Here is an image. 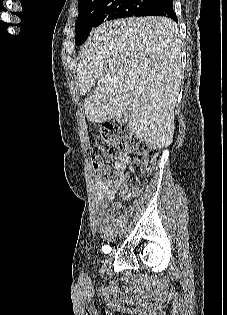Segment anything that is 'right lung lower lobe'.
Wrapping results in <instances>:
<instances>
[{
  "instance_id": "98d812e1",
  "label": "right lung lower lobe",
  "mask_w": 227,
  "mask_h": 315,
  "mask_svg": "<svg viewBox=\"0 0 227 315\" xmlns=\"http://www.w3.org/2000/svg\"><path fill=\"white\" fill-rule=\"evenodd\" d=\"M137 10L134 16H165L170 17L177 22V17L173 10L172 0H156L144 11Z\"/></svg>"
}]
</instances>
